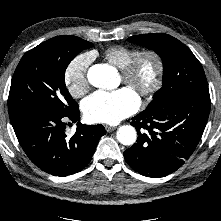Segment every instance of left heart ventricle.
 <instances>
[{"mask_svg":"<svg viewBox=\"0 0 221 221\" xmlns=\"http://www.w3.org/2000/svg\"><path fill=\"white\" fill-rule=\"evenodd\" d=\"M155 75V64L154 61L150 58L144 59L137 71L135 78V85L129 86L136 93H138V88L148 86L154 79Z\"/></svg>","mask_w":221,"mask_h":221,"instance_id":"1","label":"left heart ventricle"}]
</instances>
